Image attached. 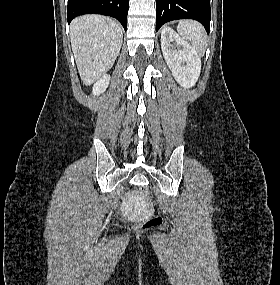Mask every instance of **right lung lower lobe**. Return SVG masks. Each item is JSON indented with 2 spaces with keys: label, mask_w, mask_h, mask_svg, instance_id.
Wrapping results in <instances>:
<instances>
[{
  "label": "right lung lower lobe",
  "mask_w": 280,
  "mask_h": 285,
  "mask_svg": "<svg viewBox=\"0 0 280 285\" xmlns=\"http://www.w3.org/2000/svg\"><path fill=\"white\" fill-rule=\"evenodd\" d=\"M129 0H68V23L83 14L96 13L116 18L127 30Z\"/></svg>",
  "instance_id": "right-lung-lower-lobe-1"
}]
</instances>
